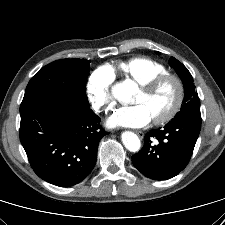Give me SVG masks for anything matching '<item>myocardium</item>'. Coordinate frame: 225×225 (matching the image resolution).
Returning a JSON list of instances; mask_svg holds the SVG:
<instances>
[{
	"instance_id": "1",
	"label": "myocardium",
	"mask_w": 225,
	"mask_h": 225,
	"mask_svg": "<svg viewBox=\"0 0 225 225\" xmlns=\"http://www.w3.org/2000/svg\"><path fill=\"white\" fill-rule=\"evenodd\" d=\"M165 83H171L174 86V97L167 109L153 118L155 124H164L177 114L184 98L183 83L178 76L171 73H164L140 83V89L147 94L155 93Z\"/></svg>"
}]
</instances>
